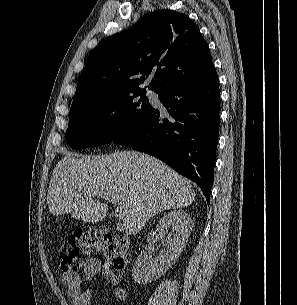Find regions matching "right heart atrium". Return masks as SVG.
Returning <instances> with one entry per match:
<instances>
[{"mask_svg":"<svg viewBox=\"0 0 297 305\" xmlns=\"http://www.w3.org/2000/svg\"><path fill=\"white\" fill-rule=\"evenodd\" d=\"M110 119H111V115L108 114V115L105 116L104 122L107 123Z\"/></svg>","mask_w":297,"mask_h":305,"instance_id":"d8ad5b80","label":"right heart atrium"}]
</instances>
